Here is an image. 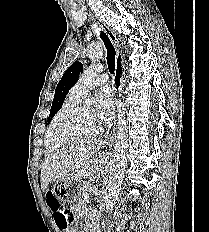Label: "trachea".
Listing matches in <instances>:
<instances>
[{"instance_id": "1", "label": "trachea", "mask_w": 209, "mask_h": 232, "mask_svg": "<svg viewBox=\"0 0 209 232\" xmlns=\"http://www.w3.org/2000/svg\"><path fill=\"white\" fill-rule=\"evenodd\" d=\"M100 38L103 41V43L106 47V50H107V64H108L109 72L111 74H114L115 56H116L115 48L105 32L100 31Z\"/></svg>"}]
</instances>
